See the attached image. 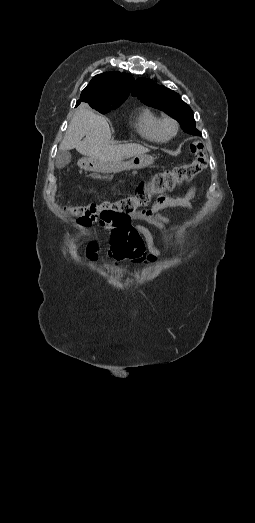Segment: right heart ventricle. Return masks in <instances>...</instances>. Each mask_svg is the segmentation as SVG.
<instances>
[{"mask_svg":"<svg viewBox=\"0 0 255 523\" xmlns=\"http://www.w3.org/2000/svg\"><path fill=\"white\" fill-rule=\"evenodd\" d=\"M161 117L151 108L145 107L137 121L138 133L150 141H163L164 135L161 131Z\"/></svg>","mask_w":255,"mask_h":523,"instance_id":"1","label":"right heart ventricle"}]
</instances>
